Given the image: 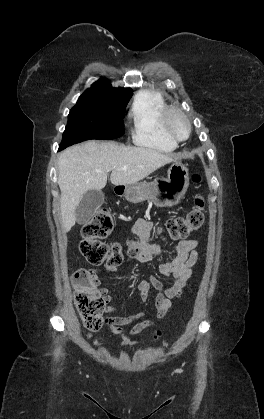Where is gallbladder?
<instances>
[{
    "label": "gallbladder",
    "instance_id": "obj_1",
    "mask_svg": "<svg viewBox=\"0 0 264 419\" xmlns=\"http://www.w3.org/2000/svg\"><path fill=\"white\" fill-rule=\"evenodd\" d=\"M104 203V194L101 190H89L83 196L76 208V221L85 224L91 220L97 209Z\"/></svg>",
    "mask_w": 264,
    "mask_h": 419
}]
</instances>
